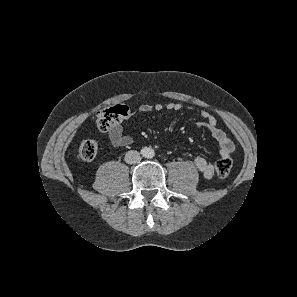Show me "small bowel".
Here are the masks:
<instances>
[{
  "label": "small bowel",
  "instance_id": "obj_1",
  "mask_svg": "<svg viewBox=\"0 0 297 297\" xmlns=\"http://www.w3.org/2000/svg\"><path fill=\"white\" fill-rule=\"evenodd\" d=\"M183 108L182 104L178 102H170L165 105L156 104L155 106L142 105L139 107V113H148L152 110L160 112L162 110L180 111ZM192 109V108H189ZM200 116L203 119L197 125L206 128L212 138L217 143V152L222 158L229 157L234 150V144L227 134L217 126V120L210 112L202 110ZM109 139L115 147H126L132 144L131 136L124 133V125L122 122L115 124L108 131ZM184 156L190 158L194 166L199 170L206 179H211L214 175V166L208 162L204 157L199 155H192L184 153Z\"/></svg>",
  "mask_w": 297,
  "mask_h": 297
}]
</instances>
